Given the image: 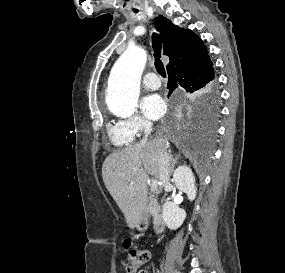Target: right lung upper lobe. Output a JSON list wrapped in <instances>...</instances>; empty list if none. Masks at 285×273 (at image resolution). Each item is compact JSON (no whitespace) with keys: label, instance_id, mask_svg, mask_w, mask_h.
I'll list each match as a JSON object with an SVG mask.
<instances>
[{"label":"right lung upper lobe","instance_id":"obj_1","mask_svg":"<svg viewBox=\"0 0 285 273\" xmlns=\"http://www.w3.org/2000/svg\"><path fill=\"white\" fill-rule=\"evenodd\" d=\"M155 26L163 40L164 55L170 58L167 71L207 52L197 35L179 28L167 18L160 15L155 20Z\"/></svg>","mask_w":285,"mask_h":273}]
</instances>
